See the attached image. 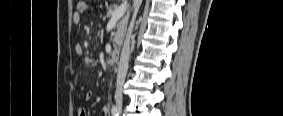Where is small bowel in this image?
I'll list each match as a JSON object with an SVG mask.
<instances>
[{
	"label": "small bowel",
	"mask_w": 283,
	"mask_h": 116,
	"mask_svg": "<svg viewBox=\"0 0 283 116\" xmlns=\"http://www.w3.org/2000/svg\"><path fill=\"white\" fill-rule=\"evenodd\" d=\"M82 12L83 10H77L76 12L73 13V16H72V20L75 24H80L82 22ZM75 52L80 55V56H83L84 55V50L82 48V46L80 44H77L75 46ZM94 97V93L92 91H87L86 94H85V99L87 101L93 99ZM102 115L103 116H110V106L109 104H105L102 109ZM78 115L79 116H85L87 115V112L84 108H79L78 110Z\"/></svg>",
	"instance_id": "obj_1"
}]
</instances>
